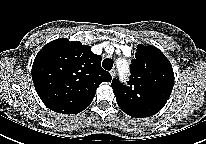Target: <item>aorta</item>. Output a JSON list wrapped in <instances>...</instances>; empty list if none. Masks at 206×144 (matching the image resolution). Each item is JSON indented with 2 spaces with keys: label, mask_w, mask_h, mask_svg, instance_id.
Listing matches in <instances>:
<instances>
[{
  "label": "aorta",
  "mask_w": 206,
  "mask_h": 144,
  "mask_svg": "<svg viewBox=\"0 0 206 144\" xmlns=\"http://www.w3.org/2000/svg\"><path fill=\"white\" fill-rule=\"evenodd\" d=\"M117 67H118V70L120 72V75L122 77H125L128 73V65L127 63L125 62H122V60H118L117 61Z\"/></svg>",
  "instance_id": "aorta-1"
}]
</instances>
